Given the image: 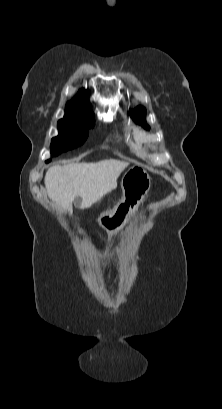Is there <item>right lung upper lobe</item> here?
<instances>
[{
    "label": "right lung upper lobe",
    "mask_w": 222,
    "mask_h": 409,
    "mask_svg": "<svg viewBox=\"0 0 222 409\" xmlns=\"http://www.w3.org/2000/svg\"><path fill=\"white\" fill-rule=\"evenodd\" d=\"M77 111H91L88 106V91L80 90L78 95L66 105V113Z\"/></svg>",
    "instance_id": "1"
}]
</instances>
